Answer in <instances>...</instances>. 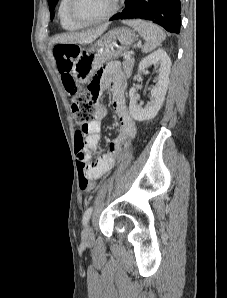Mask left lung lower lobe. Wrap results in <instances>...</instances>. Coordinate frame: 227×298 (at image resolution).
Listing matches in <instances>:
<instances>
[{
    "label": "left lung lower lobe",
    "mask_w": 227,
    "mask_h": 298,
    "mask_svg": "<svg viewBox=\"0 0 227 298\" xmlns=\"http://www.w3.org/2000/svg\"><path fill=\"white\" fill-rule=\"evenodd\" d=\"M134 18L151 20L178 34L181 24L180 0H126L124 9L110 20Z\"/></svg>",
    "instance_id": "obj_1"
}]
</instances>
